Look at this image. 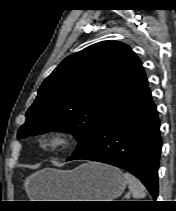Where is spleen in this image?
I'll return each instance as SVG.
<instances>
[{"mask_svg": "<svg viewBox=\"0 0 176 211\" xmlns=\"http://www.w3.org/2000/svg\"><path fill=\"white\" fill-rule=\"evenodd\" d=\"M124 177L129 183V189L132 193L133 198L141 199L146 196L144 185L136 177L128 172L124 173Z\"/></svg>", "mask_w": 176, "mask_h": 211, "instance_id": "spleen-1", "label": "spleen"}]
</instances>
